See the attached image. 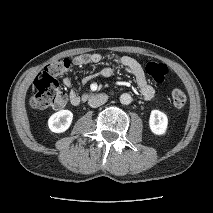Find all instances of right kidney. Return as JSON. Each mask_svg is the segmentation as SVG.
Wrapping results in <instances>:
<instances>
[{"instance_id": "ca27d5eb", "label": "right kidney", "mask_w": 213, "mask_h": 213, "mask_svg": "<svg viewBox=\"0 0 213 213\" xmlns=\"http://www.w3.org/2000/svg\"><path fill=\"white\" fill-rule=\"evenodd\" d=\"M73 113L70 110H60L50 116L48 127L54 133H63L71 125Z\"/></svg>"}]
</instances>
